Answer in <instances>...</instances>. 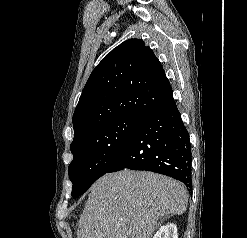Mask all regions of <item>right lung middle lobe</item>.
<instances>
[{
	"label": "right lung middle lobe",
	"instance_id": "dd1d6c3e",
	"mask_svg": "<svg viewBox=\"0 0 247 238\" xmlns=\"http://www.w3.org/2000/svg\"><path fill=\"white\" fill-rule=\"evenodd\" d=\"M143 117H119L91 129L71 143L73 161L68 174L73 183L71 196L76 198L102 175L128 142Z\"/></svg>",
	"mask_w": 247,
	"mask_h": 238
}]
</instances>
